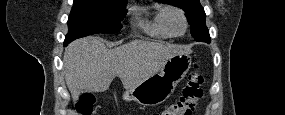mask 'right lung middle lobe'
I'll use <instances>...</instances> for the list:
<instances>
[{
  "mask_svg": "<svg viewBox=\"0 0 285 115\" xmlns=\"http://www.w3.org/2000/svg\"><path fill=\"white\" fill-rule=\"evenodd\" d=\"M126 4L120 0H74L64 44L91 34L118 32L126 16Z\"/></svg>",
  "mask_w": 285,
  "mask_h": 115,
  "instance_id": "right-lung-middle-lobe-1",
  "label": "right lung middle lobe"
}]
</instances>
